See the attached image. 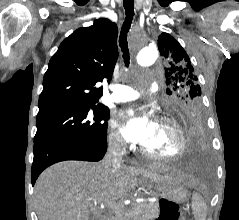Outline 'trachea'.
<instances>
[{
  "mask_svg": "<svg viewBox=\"0 0 239 220\" xmlns=\"http://www.w3.org/2000/svg\"><path fill=\"white\" fill-rule=\"evenodd\" d=\"M123 6L125 9L126 17L121 28V32L119 36V45H120L121 51L123 52L124 63L128 67L130 56H129V49H128V43H127V33L130 29L133 16H134V0H123Z\"/></svg>",
  "mask_w": 239,
  "mask_h": 220,
  "instance_id": "trachea-1",
  "label": "trachea"
}]
</instances>
